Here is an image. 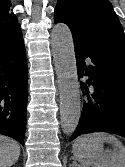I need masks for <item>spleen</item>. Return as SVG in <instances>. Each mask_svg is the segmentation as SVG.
<instances>
[{
    "instance_id": "1",
    "label": "spleen",
    "mask_w": 125,
    "mask_h": 167,
    "mask_svg": "<svg viewBox=\"0 0 125 167\" xmlns=\"http://www.w3.org/2000/svg\"><path fill=\"white\" fill-rule=\"evenodd\" d=\"M105 142L111 144L113 149L104 150ZM72 153L81 167H125V147L110 134L82 135L73 143Z\"/></svg>"
}]
</instances>
